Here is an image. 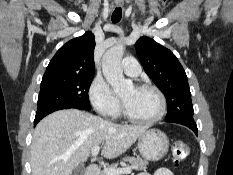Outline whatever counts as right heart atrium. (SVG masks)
<instances>
[{
	"mask_svg": "<svg viewBox=\"0 0 233 175\" xmlns=\"http://www.w3.org/2000/svg\"><path fill=\"white\" fill-rule=\"evenodd\" d=\"M88 98L95 111L104 116H114L120 107L119 98L99 76L92 80L88 88Z\"/></svg>",
	"mask_w": 233,
	"mask_h": 175,
	"instance_id": "obj_1",
	"label": "right heart atrium"
}]
</instances>
